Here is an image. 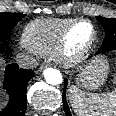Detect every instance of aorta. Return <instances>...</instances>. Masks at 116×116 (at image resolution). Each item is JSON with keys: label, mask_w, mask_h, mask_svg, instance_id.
I'll use <instances>...</instances> for the list:
<instances>
[{"label": "aorta", "mask_w": 116, "mask_h": 116, "mask_svg": "<svg viewBox=\"0 0 116 116\" xmlns=\"http://www.w3.org/2000/svg\"><path fill=\"white\" fill-rule=\"evenodd\" d=\"M43 75L46 82L51 85H59L63 81L62 74L57 69L47 68L44 70Z\"/></svg>", "instance_id": "1"}]
</instances>
